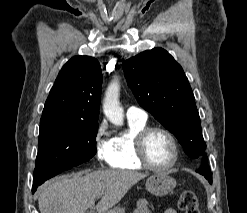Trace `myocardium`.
Returning a JSON list of instances; mask_svg holds the SVG:
<instances>
[{
	"label": "myocardium",
	"instance_id": "f54148a6",
	"mask_svg": "<svg viewBox=\"0 0 247 213\" xmlns=\"http://www.w3.org/2000/svg\"><path fill=\"white\" fill-rule=\"evenodd\" d=\"M155 131L164 133L170 140L173 147V157L171 162L163 167L153 165L147 158L145 153V142L147 137ZM179 144L175 135L165 127L162 126H146L141 129L135 136L134 139V155L136 160L145 168L155 172H166L175 167L179 160Z\"/></svg>",
	"mask_w": 247,
	"mask_h": 213
}]
</instances>
